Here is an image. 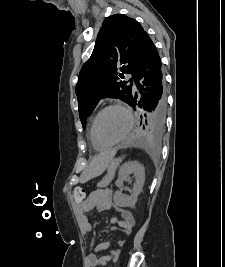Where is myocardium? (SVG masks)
Returning a JSON list of instances; mask_svg holds the SVG:
<instances>
[{"label":"myocardium","instance_id":"obj_1","mask_svg":"<svg viewBox=\"0 0 225 267\" xmlns=\"http://www.w3.org/2000/svg\"><path fill=\"white\" fill-rule=\"evenodd\" d=\"M111 109H120V110L125 112V114L127 115V118H128V128H127L125 134L120 139L112 141V142H105L99 136L98 124H99V121L102 118V116L107 111H109ZM133 126H134V118H133V114L130 111V109L128 107H126L125 105H123V104L113 103V104H109V105L105 106L96 115V117L94 119V122H93V135H94L95 140L98 143H100V144H102L104 146H107V147H111V146H115V145H118V144L124 142L128 138V136L130 135V133H131V131L133 129Z\"/></svg>","mask_w":225,"mask_h":267}]
</instances>
